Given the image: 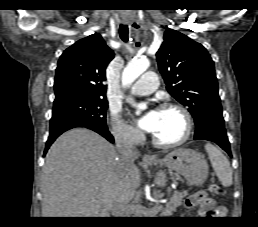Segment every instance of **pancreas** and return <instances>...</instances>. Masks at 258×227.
<instances>
[{
  "label": "pancreas",
  "instance_id": "pancreas-1",
  "mask_svg": "<svg viewBox=\"0 0 258 227\" xmlns=\"http://www.w3.org/2000/svg\"><path fill=\"white\" fill-rule=\"evenodd\" d=\"M188 190H184L182 192H175L170 200L164 205L160 206L159 209H147L144 208L143 211L140 213H136L135 211H132L134 215L132 217H149L147 216L150 213H155V212H160L161 216L160 217H169L175 210L176 208L181 204L183 198L187 195ZM138 214H144L143 215H138Z\"/></svg>",
  "mask_w": 258,
  "mask_h": 227
}]
</instances>
